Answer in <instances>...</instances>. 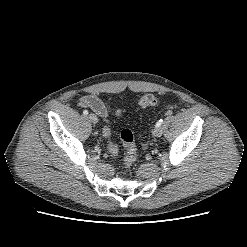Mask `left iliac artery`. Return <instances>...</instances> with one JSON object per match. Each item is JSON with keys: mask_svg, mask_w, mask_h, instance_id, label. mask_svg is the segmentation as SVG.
Masks as SVG:
<instances>
[{"mask_svg": "<svg viewBox=\"0 0 247 247\" xmlns=\"http://www.w3.org/2000/svg\"><path fill=\"white\" fill-rule=\"evenodd\" d=\"M162 122H163V119H160V120L156 123V127H160L161 124H162Z\"/></svg>", "mask_w": 247, "mask_h": 247, "instance_id": "1", "label": "left iliac artery"}]
</instances>
